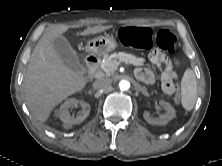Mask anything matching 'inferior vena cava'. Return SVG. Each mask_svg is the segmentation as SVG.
<instances>
[{"label": "inferior vena cava", "mask_w": 222, "mask_h": 166, "mask_svg": "<svg viewBox=\"0 0 222 166\" xmlns=\"http://www.w3.org/2000/svg\"><path fill=\"white\" fill-rule=\"evenodd\" d=\"M112 80L107 77L99 78L94 82L96 89L108 90L111 88Z\"/></svg>", "instance_id": "obj_1"}]
</instances>
